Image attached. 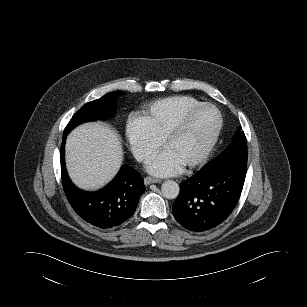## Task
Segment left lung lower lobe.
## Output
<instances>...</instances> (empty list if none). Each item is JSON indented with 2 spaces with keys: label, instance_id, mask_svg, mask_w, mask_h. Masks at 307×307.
<instances>
[{
  "label": "left lung lower lobe",
  "instance_id": "left-lung-lower-lobe-1",
  "mask_svg": "<svg viewBox=\"0 0 307 307\" xmlns=\"http://www.w3.org/2000/svg\"><path fill=\"white\" fill-rule=\"evenodd\" d=\"M246 171L243 166L199 170L180 184L179 196L172 207L175 219L195 232L220 225L238 203Z\"/></svg>",
  "mask_w": 307,
  "mask_h": 307
}]
</instances>
